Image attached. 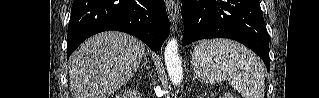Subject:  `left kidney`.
Here are the masks:
<instances>
[{"instance_id": "1", "label": "left kidney", "mask_w": 319, "mask_h": 98, "mask_svg": "<svg viewBox=\"0 0 319 98\" xmlns=\"http://www.w3.org/2000/svg\"><path fill=\"white\" fill-rule=\"evenodd\" d=\"M222 98H235V96L230 93H225L224 96H222Z\"/></svg>"}]
</instances>
